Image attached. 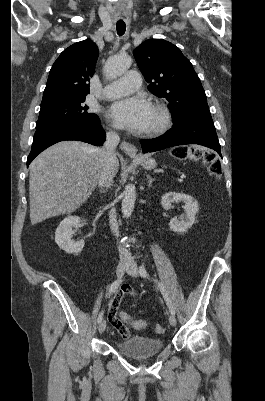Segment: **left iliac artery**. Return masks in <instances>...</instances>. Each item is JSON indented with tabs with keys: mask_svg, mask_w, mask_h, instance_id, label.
<instances>
[{
	"mask_svg": "<svg viewBox=\"0 0 265 401\" xmlns=\"http://www.w3.org/2000/svg\"><path fill=\"white\" fill-rule=\"evenodd\" d=\"M140 274H141V276L144 277V278H146V277L148 278V276H149L148 273H147V271H146V269H145V267H144V265H141V266H140ZM155 281H156V283H157V280H155ZM158 287H159V289H160V291H161V293H162V295H163V297H164V299H165V301H166L167 306L169 307V310H170L171 314H174V315H175L174 307H173V305H172L171 300H170L169 297H168L167 292H166L165 289H164L163 284L158 283Z\"/></svg>",
	"mask_w": 265,
	"mask_h": 401,
	"instance_id": "1",
	"label": "left iliac artery"
}]
</instances>
